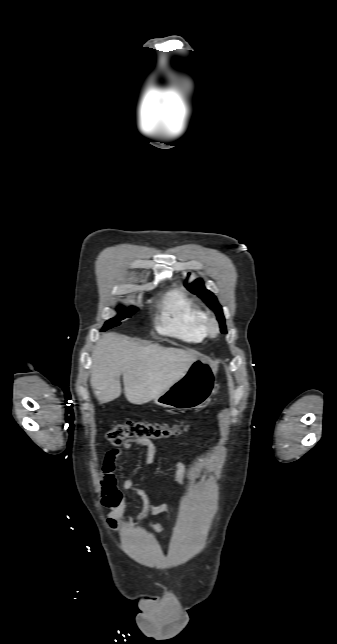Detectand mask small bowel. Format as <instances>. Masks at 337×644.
Wrapping results in <instances>:
<instances>
[{"label": "small bowel", "mask_w": 337, "mask_h": 644, "mask_svg": "<svg viewBox=\"0 0 337 644\" xmlns=\"http://www.w3.org/2000/svg\"><path fill=\"white\" fill-rule=\"evenodd\" d=\"M134 444L144 446L146 448L144 467H148L153 464L157 452L156 446L149 439L132 438L124 442L123 448L116 447L110 449L107 452L101 470V503L104 506L112 509L107 519V525L113 531H116L120 524H134L140 522L150 513L170 512V508L166 504L157 507L152 506L150 504V494L138 487L135 484L134 479L127 478L122 483L123 491L139 495L143 500V509L137 516L130 519H125L122 516L124 494L123 491L118 487V482L114 471L116 467V461L123 455V451L129 450ZM184 469V464L181 461H177L178 474L175 480L176 484H179L181 482ZM151 529L154 532H161L163 530V526L160 524H154L151 526Z\"/></svg>", "instance_id": "obj_1"}]
</instances>
